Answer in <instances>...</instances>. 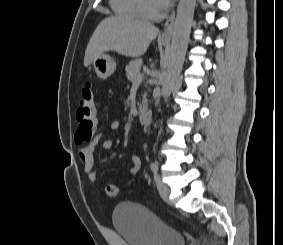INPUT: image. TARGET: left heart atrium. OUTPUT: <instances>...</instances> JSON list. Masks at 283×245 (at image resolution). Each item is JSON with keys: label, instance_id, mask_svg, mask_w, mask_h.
I'll list each match as a JSON object with an SVG mask.
<instances>
[{"label": "left heart atrium", "instance_id": "obj_1", "mask_svg": "<svg viewBox=\"0 0 283 245\" xmlns=\"http://www.w3.org/2000/svg\"><path fill=\"white\" fill-rule=\"evenodd\" d=\"M156 1L161 8H164L170 3L171 0H156Z\"/></svg>", "mask_w": 283, "mask_h": 245}]
</instances>
